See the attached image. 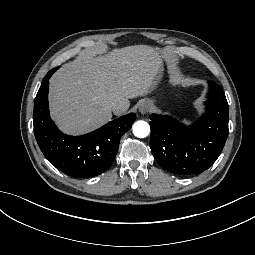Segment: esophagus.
Here are the masks:
<instances>
[{
  "mask_svg": "<svg viewBox=\"0 0 255 255\" xmlns=\"http://www.w3.org/2000/svg\"><path fill=\"white\" fill-rule=\"evenodd\" d=\"M149 110H150V105H149L148 101H146V100L143 101L139 107V112L141 114H147L149 112Z\"/></svg>",
  "mask_w": 255,
  "mask_h": 255,
  "instance_id": "1",
  "label": "esophagus"
}]
</instances>
